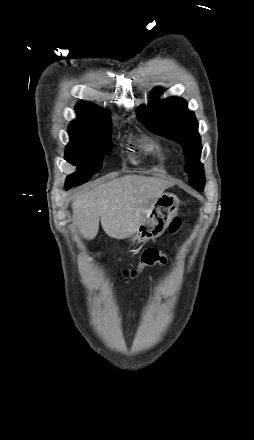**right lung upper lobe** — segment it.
Returning a JSON list of instances; mask_svg holds the SVG:
<instances>
[{"instance_id": "1", "label": "right lung upper lobe", "mask_w": 254, "mask_h": 440, "mask_svg": "<svg viewBox=\"0 0 254 440\" xmlns=\"http://www.w3.org/2000/svg\"><path fill=\"white\" fill-rule=\"evenodd\" d=\"M80 118L71 122V127L102 130L110 127L107 113L96 105L80 102L76 107Z\"/></svg>"}]
</instances>
